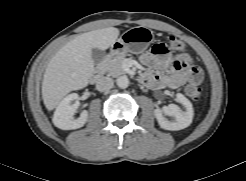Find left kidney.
<instances>
[{
	"instance_id": "left-kidney-1",
	"label": "left kidney",
	"mask_w": 246,
	"mask_h": 181,
	"mask_svg": "<svg viewBox=\"0 0 246 181\" xmlns=\"http://www.w3.org/2000/svg\"><path fill=\"white\" fill-rule=\"evenodd\" d=\"M176 100L185 107L184 112L176 104H169L168 106L154 110L158 124L165 130H182L192 123L194 115L192 103L181 93L176 94ZM165 116H170L174 119L168 120Z\"/></svg>"
}]
</instances>
